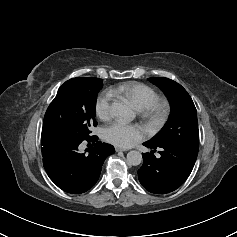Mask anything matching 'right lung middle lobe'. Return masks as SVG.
Instances as JSON below:
<instances>
[{
	"instance_id": "obj_1",
	"label": "right lung middle lobe",
	"mask_w": 237,
	"mask_h": 237,
	"mask_svg": "<svg viewBox=\"0 0 237 237\" xmlns=\"http://www.w3.org/2000/svg\"><path fill=\"white\" fill-rule=\"evenodd\" d=\"M103 81L94 77L72 78L58 90L44 116L42 131L52 130L86 140L96 126V99Z\"/></svg>"
}]
</instances>
